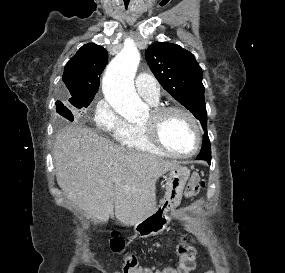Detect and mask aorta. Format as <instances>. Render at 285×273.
Wrapping results in <instances>:
<instances>
[{"mask_svg":"<svg viewBox=\"0 0 285 273\" xmlns=\"http://www.w3.org/2000/svg\"><path fill=\"white\" fill-rule=\"evenodd\" d=\"M140 62V53L134 46L124 47L106 68L102 89L106 100L121 116L138 119L144 116L147 105L134 88V76Z\"/></svg>","mask_w":285,"mask_h":273,"instance_id":"762f6f07","label":"aorta"}]
</instances>
